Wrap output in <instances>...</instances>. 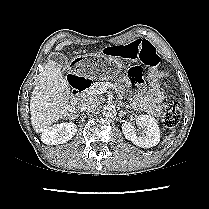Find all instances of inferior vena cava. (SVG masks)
I'll return each mask as SVG.
<instances>
[{
  "label": "inferior vena cava",
  "instance_id": "602c4592",
  "mask_svg": "<svg viewBox=\"0 0 209 209\" xmlns=\"http://www.w3.org/2000/svg\"><path fill=\"white\" fill-rule=\"evenodd\" d=\"M98 102L94 98H86L80 102L79 108L81 111L90 112L96 109Z\"/></svg>",
  "mask_w": 209,
  "mask_h": 209
}]
</instances>
